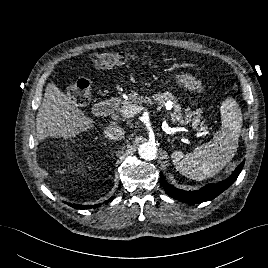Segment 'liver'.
I'll return each instance as SVG.
<instances>
[{
    "label": "liver",
    "mask_w": 268,
    "mask_h": 268,
    "mask_svg": "<svg viewBox=\"0 0 268 268\" xmlns=\"http://www.w3.org/2000/svg\"><path fill=\"white\" fill-rule=\"evenodd\" d=\"M93 123L71 96L65 95L54 83H48L36 118L38 141L54 136L70 139L93 128Z\"/></svg>",
    "instance_id": "1"
}]
</instances>
